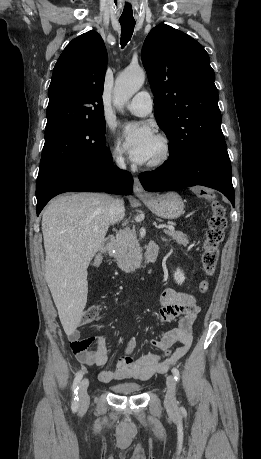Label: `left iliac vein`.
Listing matches in <instances>:
<instances>
[{"label":"left iliac vein","instance_id":"4c4485c4","mask_svg":"<svg viewBox=\"0 0 261 459\" xmlns=\"http://www.w3.org/2000/svg\"><path fill=\"white\" fill-rule=\"evenodd\" d=\"M166 385H167V392L165 396V406L170 409L174 410L177 406L176 401V381L172 375H169L166 378Z\"/></svg>","mask_w":261,"mask_h":459}]
</instances>
